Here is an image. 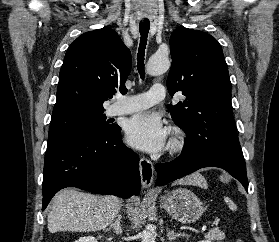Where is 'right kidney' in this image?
<instances>
[{
	"label": "right kidney",
	"instance_id": "1",
	"mask_svg": "<svg viewBox=\"0 0 279 242\" xmlns=\"http://www.w3.org/2000/svg\"><path fill=\"white\" fill-rule=\"evenodd\" d=\"M75 242H98L97 239L93 236H86V237H81Z\"/></svg>",
	"mask_w": 279,
	"mask_h": 242
}]
</instances>
